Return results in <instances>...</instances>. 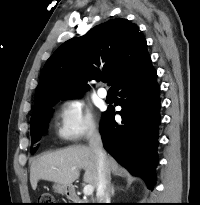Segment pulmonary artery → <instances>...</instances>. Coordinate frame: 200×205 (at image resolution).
Listing matches in <instances>:
<instances>
[{"mask_svg":"<svg viewBox=\"0 0 200 205\" xmlns=\"http://www.w3.org/2000/svg\"><path fill=\"white\" fill-rule=\"evenodd\" d=\"M97 93H98V96L100 98H106L107 97V90L103 87L99 88Z\"/></svg>","mask_w":200,"mask_h":205,"instance_id":"1","label":"pulmonary artery"}]
</instances>
